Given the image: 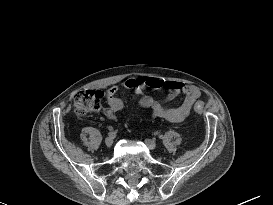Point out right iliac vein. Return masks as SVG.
Here are the masks:
<instances>
[{
  "label": "right iliac vein",
  "instance_id": "obj_1",
  "mask_svg": "<svg viewBox=\"0 0 273 205\" xmlns=\"http://www.w3.org/2000/svg\"><path fill=\"white\" fill-rule=\"evenodd\" d=\"M113 141H114V138H113V137H111V136L107 137V138L105 139V144H106V146H107V147H111L112 144H113Z\"/></svg>",
  "mask_w": 273,
  "mask_h": 205
}]
</instances>
